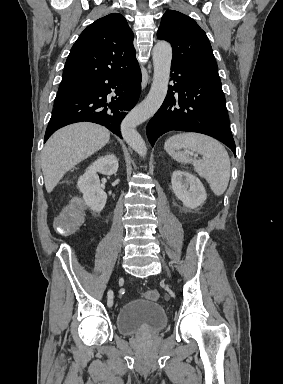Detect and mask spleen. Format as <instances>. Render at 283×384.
I'll use <instances>...</instances> for the list:
<instances>
[{"label":"spleen","mask_w":283,"mask_h":384,"mask_svg":"<svg viewBox=\"0 0 283 384\" xmlns=\"http://www.w3.org/2000/svg\"><path fill=\"white\" fill-rule=\"evenodd\" d=\"M181 148L201 154L203 160H193L184 152H176ZM164 150L176 162L193 164L195 172L205 178L215 196L226 192L230 180V158L220 142L203 134H177L166 140Z\"/></svg>","instance_id":"3e777b00"}]
</instances>
